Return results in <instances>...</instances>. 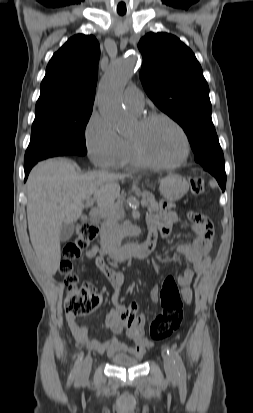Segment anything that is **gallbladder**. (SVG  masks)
<instances>
[{
	"label": "gallbladder",
	"instance_id": "gallbladder-1",
	"mask_svg": "<svg viewBox=\"0 0 253 413\" xmlns=\"http://www.w3.org/2000/svg\"><path fill=\"white\" fill-rule=\"evenodd\" d=\"M75 231V225L70 223V224H63L60 229L59 233V240L60 242H65L71 238Z\"/></svg>",
	"mask_w": 253,
	"mask_h": 413
}]
</instances>
